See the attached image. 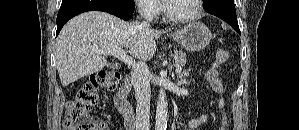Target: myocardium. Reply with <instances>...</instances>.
Here are the masks:
<instances>
[{
    "label": "myocardium",
    "instance_id": "f54148a6",
    "mask_svg": "<svg viewBox=\"0 0 299 130\" xmlns=\"http://www.w3.org/2000/svg\"><path fill=\"white\" fill-rule=\"evenodd\" d=\"M168 2L169 1H165L163 3L164 16L166 19L176 23H186L196 19L202 10V3H203L202 0H194V4H195L194 9L190 13L181 16H175L170 14L169 12Z\"/></svg>",
    "mask_w": 299,
    "mask_h": 130
}]
</instances>
